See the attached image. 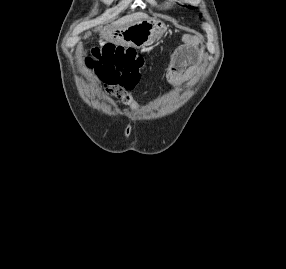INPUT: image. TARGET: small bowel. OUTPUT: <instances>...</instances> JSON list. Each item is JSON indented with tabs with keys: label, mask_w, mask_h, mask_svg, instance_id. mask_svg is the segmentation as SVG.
<instances>
[{
	"label": "small bowel",
	"mask_w": 286,
	"mask_h": 269,
	"mask_svg": "<svg viewBox=\"0 0 286 269\" xmlns=\"http://www.w3.org/2000/svg\"><path fill=\"white\" fill-rule=\"evenodd\" d=\"M198 40L186 38V43L175 52L166 78L173 87H179L183 83L193 79L199 70V65L204 60V53L198 46ZM114 96L128 105L132 110H137L138 105L131 95L123 90L116 89Z\"/></svg>",
	"instance_id": "small-bowel-1"
}]
</instances>
